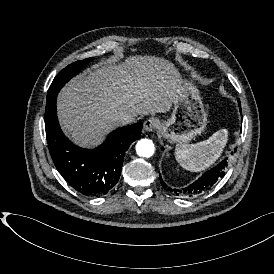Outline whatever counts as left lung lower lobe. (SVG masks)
Wrapping results in <instances>:
<instances>
[{"label": "left lung lower lobe", "instance_id": "obj_1", "mask_svg": "<svg viewBox=\"0 0 274 274\" xmlns=\"http://www.w3.org/2000/svg\"><path fill=\"white\" fill-rule=\"evenodd\" d=\"M240 103V100H238ZM163 150V148H162ZM228 158L224 159L220 164L216 167L212 168L211 170L204 173L197 181L193 184L189 185L183 189H172L171 187H167L162 177L160 175V183L164 189H168L171 192H174L176 195H199L205 193L206 191L210 190L212 186L225 175V169L227 168Z\"/></svg>", "mask_w": 274, "mask_h": 274}]
</instances>
